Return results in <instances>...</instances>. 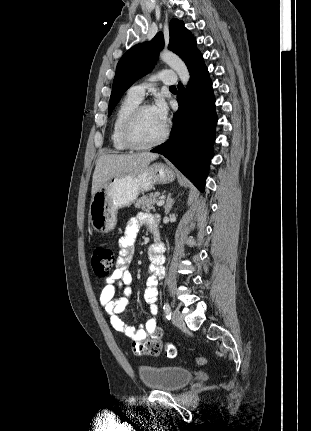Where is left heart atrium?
I'll return each instance as SVG.
<instances>
[{
  "mask_svg": "<svg viewBox=\"0 0 311 431\" xmlns=\"http://www.w3.org/2000/svg\"><path fill=\"white\" fill-rule=\"evenodd\" d=\"M151 109L158 118V120L163 125H166L168 119V106L165 100L161 97H158L155 100L154 104L151 106Z\"/></svg>",
  "mask_w": 311,
  "mask_h": 431,
  "instance_id": "left-heart-atrium-1",
  "label": "left heart atrium"
}]
</instances>
